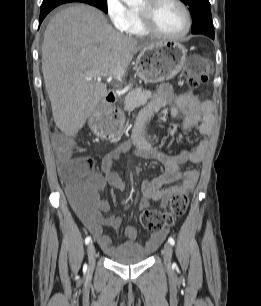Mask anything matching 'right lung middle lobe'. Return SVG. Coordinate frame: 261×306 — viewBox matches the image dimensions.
I'll use <instances>...</instances> for the list:
<instances>
[{"mask_svg": "<svg viewBox=\"0 0 261 306\" xmlns=\"http://www.w3.org/2000/svg\"><path fill=\"white\" fill-rule=\"evenodd\" d=\"M71 1H64V0H43L41 8L50 7V6H58L63 3H68ZM84 3L93 5L105 13H107V0H83Z\"/></svg>", "mask_w": 261, "mask_h": 306, "instance_id": "right-lung-middle-lobe-1", "label": "right lung middle lobe"}]
</instances>
